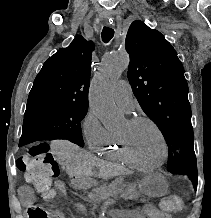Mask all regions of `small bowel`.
<instances>
[{
    "label": "small bowel",
    "mask_w": 211,
    "mask_h": 218,
    "mask_svg": "<svg viewBox=\"0 0 211 218\" xmlns=\"http://www.w3.org/2000/svg\"><path fill=\"white\" fill-rule=\"evenodd\" d=\"M54 186L59 194L64 195L66 193V188L63 182L58 180L55 182ZM19 194L24 204L30 205L34 202V194L30 187H21ZM80 209H83V207H80ZM137 210L138 218H170V215L166 211L160 210L152 205H146ZM53 216L54 218H66L64 211L61 209H56Z\"/></svg>",
    "instance_id": "obj_1"
}]
</instances>
